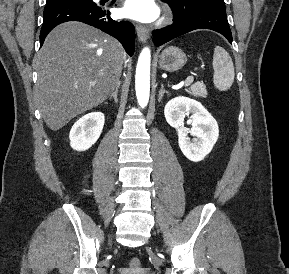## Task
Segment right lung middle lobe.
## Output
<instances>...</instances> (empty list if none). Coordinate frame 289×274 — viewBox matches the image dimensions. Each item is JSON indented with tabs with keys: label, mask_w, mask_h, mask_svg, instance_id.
<instances>
[{
	"label": "right lung middle lobe",
	"mask_w": 289,
	"mask_h": 274,
	"mask_svg": "<svg viewBox=\"0 0 289 274\" xmlns=\"http://www.w3.org/2000/svg\"><path fill=\"white\" fill-rule=\"evenodd\" d=\"M64 1H69V0H47L46 5L55 4V3L64 2Z\"/></svg>",
	"instance_id": "dd1d6c3e"
}]
</instances>
